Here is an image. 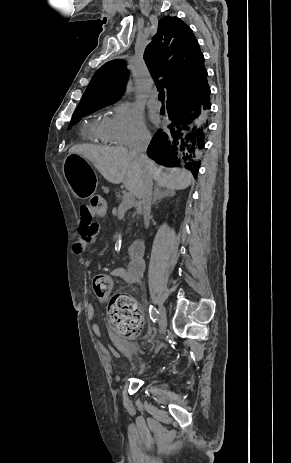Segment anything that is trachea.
<instances>
[{"instance_id": "trachea-1", "label": "trachea", "mask_w": 291, "mask_h": 463, "mask_svg": "<svg viewBox=\"0 0 291 463\" xmlns=\"http://www.w3.org/2000/svg\"><path fill=\"white\" fill-rule=\"evenodd\" d=\"M164 98H165V94H164L163 91H161V92L159 93V100L163 102V101H164Z\"/></svg>"}]
</instances>
